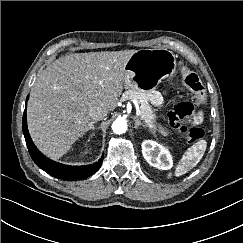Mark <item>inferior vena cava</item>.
Here are the masks:
<instances>
[{
  "label": "inferior vena cava",
  "instance_id": "1",
  "mask_svg": "<svg viewBox=\"0 0 243 243\" xmlns=\"http://www.w3.org/2000/svg\"><path fill=\"white\" fill-rule=\"evenodd\" d=\"M107 109L101 107V106H97L94 108H91L89 111V115L93 120H102L104 117L107 116Z\"/></svg>",
  "mask_w": 243,
  "mask_h": 243
}]
</instances>
